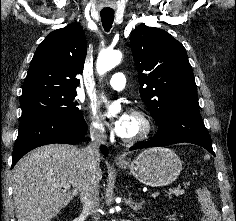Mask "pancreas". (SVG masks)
Masks as SVG:
<instances>
[{
  "label": "pancreas",
  "mask_w": 236,
  "mask_h": 221,
  "mask_svg": "<svg viewBox=\"0 0 236 221\" xmlns=\"http://www.w3.org/2000/svg\"><path fill=\"white\" fill-rule=\"evenodd\" d=\"M184 190L183 189H180V187H177V188H175L174 190H172L171 192H170V194H175L176 196H179V195H182V194H184Z\"/></svg>",
  "instance_id": "obj_1"
}]
</instances>
